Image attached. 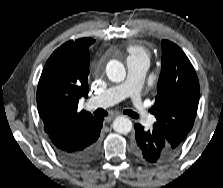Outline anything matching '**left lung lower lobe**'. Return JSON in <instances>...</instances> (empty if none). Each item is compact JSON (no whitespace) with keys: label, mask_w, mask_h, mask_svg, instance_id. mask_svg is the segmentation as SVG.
<instances>
[{"label":"left lung lower lobe","mask_w":223,"mask_h":188,"mask_svg":"<svg viewBox=\"0 0 223 188\" xmlns=\"http://www.w3.org/2000/svg\"><path fill=\"white\" fill-rule=\"evenodd\" d=\"M135 142L133 152L141 160L148 163H160L171 159L177 152L167 142L160 130H144L140 124H135Z\"/></svg>","instance_id":"1"}]
</instances>
